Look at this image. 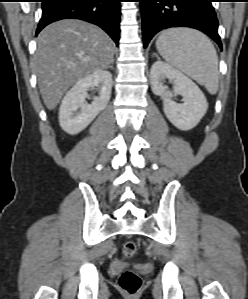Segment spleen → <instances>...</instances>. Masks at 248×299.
I'll list each match as a JSON object with an SVG mask.
<instances>
[{"instance_id": "3e777b00", "label": "spleen", "mask_w": 248, "mask_h": 299, "mask_svg": "<svg viewBox=\"0 0 248 299\" xmlns=\"http://www.w3.org/2000/svg\"><path fill=\"white\" fill-rule=\"evenodd\" d=\"M165 61L216 94L219 85L218 56L210 39L195 29L170 28L156 41Z\"/></svg>"}]
</instances>
